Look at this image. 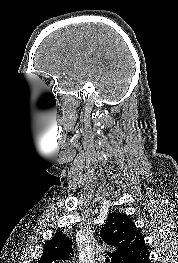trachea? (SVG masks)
<instances>
[{
	"instance_id": "3493384b",
	"label": "trachea",
	"mask_w": 178,
	"mask_h": 263,
	"mask_svg": "<svg viewBox=\"0 0 178 263\" xmlns=\"http://www.w3.org/2000/svg\"><path fill=\"white\" fill-rule=\"evenodd\" d=\"M105 262H106V263H109V262H110V259H109V258H106V259H105Z\"/></svg>"
}]
</instances>
